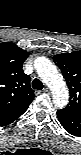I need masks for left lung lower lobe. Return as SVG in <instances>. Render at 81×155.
I'll return each mask as SVG.
<instances>
[{"mask_svg": "<svg viewBox=\"0 0 81 155\" xmlns=\"http://www.w3.org/2000/svg\"><path fill=\"white\" fill-rule=\"evenodd\" d=\"M57 117L61 125L70 134L78 135L81 131V118L68 114L63 109L57 111Z\"/></svg>", "mask_w": 81, "mask_h": 155, "instance_id": "0a47b994", "label": "left lung lower lobe"}]
</instances>
